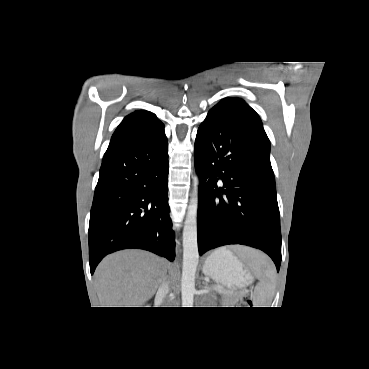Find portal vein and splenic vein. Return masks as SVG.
Masks as SVG:
<instances>
[{
    "mask_svg": "<svg viewBox=\"0 0 369 369\" xmlns=\"http://www.w3.org/2000/svg\"><path fill=\"white\" fill-rule=\"evenodd\" d=\"M212 288L214 289V290H217V289H222V287H217V286H212Z\"/></svg>",
    "mask_w": 369,
    "mask_h": 369,
    "instance_id": "obj_1",
    "label": "portal vein and splenic vein"
}]
</instances>
